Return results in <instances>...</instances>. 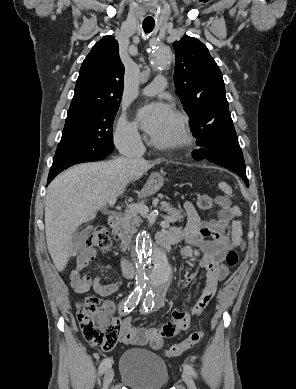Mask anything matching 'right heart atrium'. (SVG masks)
Listing matches in <instances>:
<instances>
[{"label":"right heart atrium","instance_id":"1","mask_svg":"<svg viewBox=\"0 0 296 389\" xmlns=\"http://www.w3.org/2000/svg\"><path fill=\"white\" fill-rule=\"evenodd\" d=\"M114 141L117 147L127 151L137 147L141 142L140 134L133 122L122 115L116 126Z\"/></svg>","mask_w":296,"mask_h":389}]
</instances>
